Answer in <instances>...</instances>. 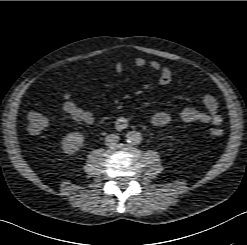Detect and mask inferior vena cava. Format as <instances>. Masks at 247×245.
Segmentation results:
<instances>
[{
	"label": "inferior vena cava",
	"mask_w": 247,
	"mask_h": 245,
	"mask_svg": "<svg viewBox=\"0 0 247 245\" xmlns=\"http://www.w3.org/2000/svg\"><path fill=\"white\" fill-rule=\"evenodd\" d=\"M119 141V136L116 134H109L105 138L106 145H114Z\"/></svg>",
	"instance_id": "obj_1"
}]
</instances>
